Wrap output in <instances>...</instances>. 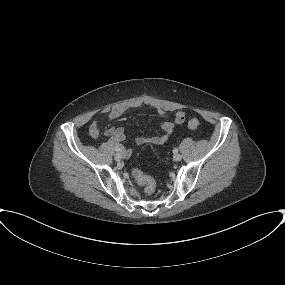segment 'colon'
<instances>
[{"mask_svg": "<svg viewBox=\"0 0 285 285\" xmlns=\"http://www.w3.org/2000/svg\"><path fill=\"white\" fill-rule=\"evenodd\" d=\"M180 117H182L181 114H180ZM199 126H200V123L197 119L193 118L188 121V127L192 130H197ZM132 175L134 179L136 180V182L139 185L144 187L146 193L151 194L154 192L155 181L150 176L146 175L145 173L137 169H134L132 171Z\"/></svg>", "mask_w": 285, "mask_h": 285, "instance_id": "colon-1", "label": "colon"}]
</instances>
